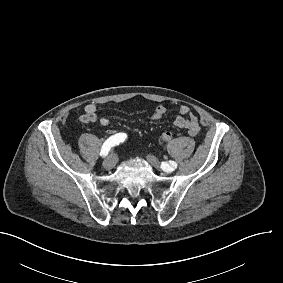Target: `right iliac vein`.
Returning a JSON list of instances; mask_svg holds the SVG:
<instances>
[{"label": "right iliac vein", "instance_id": "63e3f726", "mask_svg": "<svg viewBox=\"0 0 283 283\" xmlns=\"http://www.w3.org/2000/svg\"><path fill=\"white\" fill-rule=\"evenodd\" d=\"M116 162H117V157L115 154H110L109 157L103 162V166L110 170L112 169L115 165H116Z\"/></svg>", "mask_w": 283, "mask_h": 283}]
</instances>
